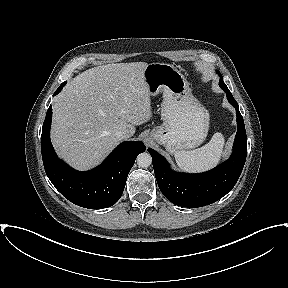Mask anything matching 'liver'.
I'll list each match as a JSON object with an SVG mask.
<instances>
[{"mask_svg":"<svg viewBox=\"0 0 288 288\" xmlns=\"http://www.w3.org/2000/svg\"><path fill=\"white\" fill-rule=\"evenodd\" d=\"M145 62L112 63L73 78L53 104L51 141L60 158L77 170L99 164L120 142L152 117L143 78ZM126 138V139H127Z\"/></svg>","mask_w":288,"mask_h":288,"instance_id":"1","label":"liver"}]
</instances>
